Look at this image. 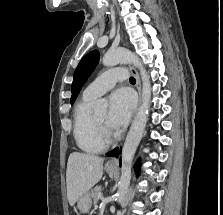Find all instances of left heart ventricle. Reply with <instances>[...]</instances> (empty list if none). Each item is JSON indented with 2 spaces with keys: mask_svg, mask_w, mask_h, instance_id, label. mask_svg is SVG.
Instances as JSON below:
<instances>
[{
  "mask_svg": "<svg viewBox=\"0 0 223 215\" xmlns=\"http://www.w3.org/2000/svg\"><path fill=\"white\" fill-rule=\"evenodd\" d=\"M95 116L98 119V121L101 122L103 124V126L106 128L107 138L111 139L114 132H113V129L110 128L109 125L107 124L106 110L96 113Z\"/></svg>",
  "mask_w": 223,
  "mask_h": 215,
  "instance_id": "left-heart-ventricle-1",
  "label": "left heart ventricle"
}]
</instances>
